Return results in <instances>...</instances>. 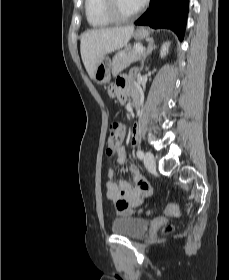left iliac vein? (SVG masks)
<instances>
[{"label": "left iliac vein", "mask_w": 229, "mask_h": 280, "mask_svg": "<svg viewBox=\"0 0 229 280\" xmlns=\"http://www.w3.org/2000/svg\"><path fill=\"white\" fill-rule=\"evenodd\" d=\"M144 165L147 170L153 171L156 168L155 159L151 152H146L144 155Z\"/></svg>", "instance_id": "4c4485c4"}]
</instances>
